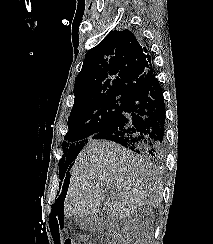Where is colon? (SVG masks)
<instances>
[{
    "label": "colon",
    "mask_w": 213,
    "mask_h": 244,
    "mask_svg": "<svg viewBox=\"0 0 213 244\" xmlns=\"http://www.w3.org/2000/svg\"><path fill=\"white\" fill-rule=\"evenodd\" d=\"M64 244H76L75 241L71 240V239H66L64 241Z\"/></svg>",
    "instance_id": "1"
}]
</instances>
